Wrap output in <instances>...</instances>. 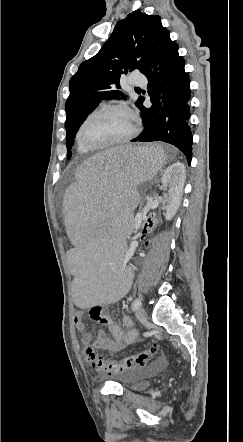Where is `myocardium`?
Here are the masks:
<instances>
[{"label": "myocardium", "mask_w": 243, "mask_h": 442, "mask_svg": "<svg viewBox=\"0 0 243 442\" xmlns=\"http://www.w3.org/2000/svg\"><path fill=\"white\" fill-rule=\"evenodd\" d=\"M112 111H125L131 116V118L133 120V127H132V130L130 131V133L127 134L125 137H122V138H119V139H116V140H113V141H110L107 143H103V144L94 145V144H89L88 142H86L83 137V132H84V129L87 126V124L91 120H93L99 116H102L104 114H107L109 112H112ZM137 132H138V125L136 122V118H135L134 114L132 113V111L130 110V108L127 107L126 105H123V104H114V105H108V106L102 107V108L96 110L95 112L89 114L84 119V121L82 122V124L78 130V139H79L80 143L88 150H100V149H105V148H110V147L125 144V143L129 142L137 134Z\"/></svg>", "instance_id": "myocardium-1"}]
</instances>
